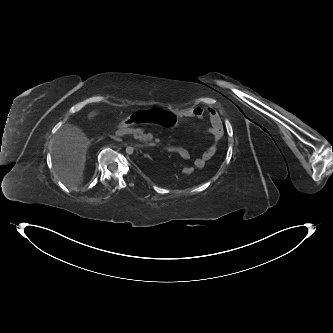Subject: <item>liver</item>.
Instances as JSON below:
<instances>
[{
	"label": "liver",
	"mask_w": 333,
	"mask_h": 333,
	"mask_svg": "<svg viewBox=\"0 0 333 333\" xmlns=\"http://www.w3.org/2000/svg\"><path fill=\"white\" fill-rule=\"evenodd\" d=\"M100 113L93 110L87 118L93 119ZM89 139L77 126L65 124L55 135L52 147L53 168L65 185L76 188L84 180Z\"/></svg>",
	"instance_id": "obj_1"
}]
</instances>
